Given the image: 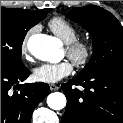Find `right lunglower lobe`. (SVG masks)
I'll return each mask as SVG.
<instances>
[{"instance_id":"98d812e1","label":"right lung lower lobe","mask_w":123,"mask_h":123,"mask_svg":"<svg viewBox=\"0 0 123 123\" xmlns=\"http://www.w3.org/2000/svg\"><path fill=\"white\" fill-rule=\"evenodd\" d=\"M20 70H1V123H30L35 107L51 92L45 83L19 84L29 76Z\"/></svg>"}]
</instances>
